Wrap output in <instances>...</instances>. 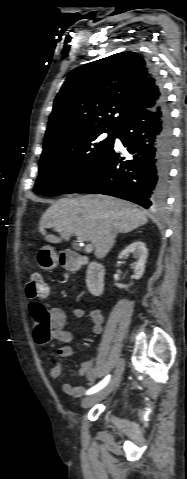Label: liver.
Instances as JSON below:
<instances>
[{
	"label": "liver",
	"mask_w": 187,
	"mask_h": 479,
	"mask_svg": "<svg viewBox=\"0 0 187 479\" xmlns=\"http://www.w3.org/2000/svg\"><path fill=\"white\" fill-rule=\"evenodd\" d=\"M148 222L144 211L135 205L105 195L63 198L42 215L39 232L51 243L68 241L75 235L89 241L97 259L104 258L115 244L118 233H129ZM54 228L60 237L47 234Z\"/></svg>",
	"instance_id": "1"
}]
</instances>
